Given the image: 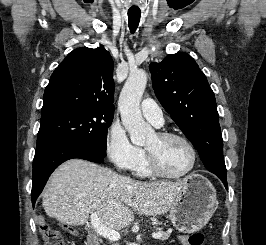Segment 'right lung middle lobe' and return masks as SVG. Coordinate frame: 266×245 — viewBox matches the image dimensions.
Listing matches in <instances>:
<instances>
[{"instance_id": "1", "label": "right lung middle lobe", "mask_w": 266, "mask_h": 245, "mask_svg": "<svg viewBox=\"0 0 266 245\" xmlns=\"http://www.w3.org/2000/svg\"><path fill=\"white\" fill-rule=\"evenodd\" d=\"M113 116L114 112L86 107L65 110L41 119L37 148L64 141L106 156L107 130Z\"/></svg>"}]
</instances>
